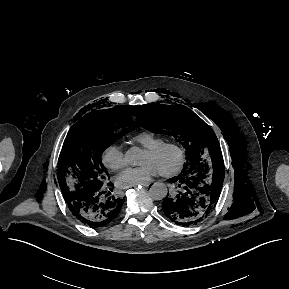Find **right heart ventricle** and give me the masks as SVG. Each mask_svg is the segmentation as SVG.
Masks as SVG:
<instances>
[{
    "label": "right heart ventricle",
    "instance_id": "right-heart-ventricle-1",
    "mask_svg": "<svg viewBox=\"0 0 289 289\" xmlns=\"http://www.w3.org/2000/svg\"><path fill=\"white\" fill-rule=\"evenodd\" d=\"M132 140L140 144L145 149L166 141L163 137L153 133L150 130H143L134 134Z\"/></svg>",
    "mask_w": 289,
    "mask_h": 289
}]
</instances>
